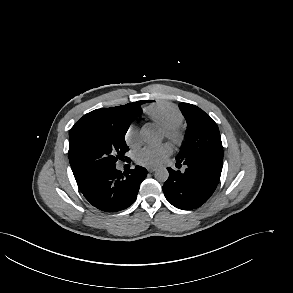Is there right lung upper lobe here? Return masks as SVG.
<instances>
[{
	"label": "right lung upper lobe",
	"instance_id": "1",
	"mask_svg": "<svg viewBox=\"0 0 293 293\" xmlns=\"http://www.w3.org/2000/svg\"><path fill=\"white\" fill-rule=\"evenodd\" d=\"M145 103L144 101H138L134 103H129L122 106L117 107H110L105 109H97L94 110L86 115H84L70 130L69 132V161L70 165L74 174V177L76 179L77 185L80 189V191L87 188L90 183L93 181V179L101 172V171H93L86 169L85 167L78 164L71 156L70 152V144L72 142V134L77 126L82 124L83 122L89 121V120H95V119H109L114 117L118 112L132 108V107H140L141 104Z\"/></svg>",
	"mask_w": 293,
	"mask_h": 293
}]
</instances>
